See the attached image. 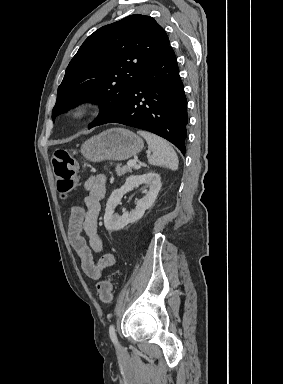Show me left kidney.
<instances>
[{
    "label": "left kidney",
    "mask_w": 283,
    "mask_h": 384,
    "mask_svg": "<svg viewBox=\"0 0 283 384\" xmlns=\"http://www.w3.org/2000/svg\"><path fill=\"white\" fill-rule=\"evenodd\" d=\"M141 184H145L144 188H149V190L145 192V196L137 202L135 210H131L129 214L128 212H124L123 216L114 214L115 208L118 204H121V198H123L124 194L131 192V190H134L137 186H141ZM160 188V176L159 174H155V172L143 174V176H129L124 186L112 192L106 204L104 216V226L106 230H109V232H118V230L125 228L127 224H134V222L140 220V218L144 216L145 210H148V208H151L152 204H154Z\"/></svg>",
    "instance_id": "obj_1"
}]
</instances>
